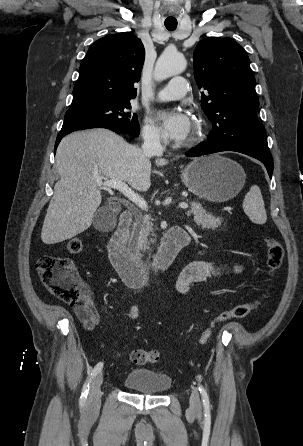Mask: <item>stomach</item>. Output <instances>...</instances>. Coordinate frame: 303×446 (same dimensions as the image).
Wrapping results in <instances>:
<instances>
[{"label":"stomach","instance_id":"obj_1","mask_svg":"<svg viewBox=\"0 0 303 446\" xmlns=\"http://www.w3.org/2000/svg\"><path fill=\"white\" fill-rule=\"evenodd\" d=\"M186 187L199 198L225 202L234 198L245 184L244 169L235 161L215 154L189 163L181 173Z\"/></svg>","mask_w":303,"mask_h":446}]
</instances>
